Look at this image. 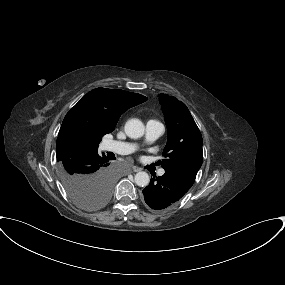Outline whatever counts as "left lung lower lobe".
<instances>
[{"instance_id": "1", "label": "left lung lower lobe", "mask_w": 285, "mask_h": 285, "mask_svg": "<svg viewBox=\"0 0 285 285\" xmlns=\"http://www.w3.org/2000/svg\"><path fill=\"white\" fill-rule=\"evenodd\" d=\"M190 187L176 177L166 173L153 178L143 189L146 204L154 210H163L174 205Z\"/></svg>"}]
</instances>
